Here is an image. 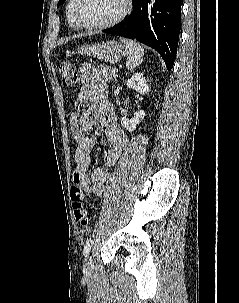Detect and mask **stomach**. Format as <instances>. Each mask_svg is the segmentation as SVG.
Segmentation results:
<instances>
[{"label": "stomach", "instance_id": "1", "mask_svg": "<svg viewBox=\"0 0 239 303\" xmlns=\"http://www.w3.org/2000/svg\"><path fill=\"white\" fill-rule=\"evenodd\" d=\"M78 52L106 62L115 63L127 54V49L124 45L116 41H109L83 45L78 49Z\"/></svg>", "mask_w": 239, "mask_h": 303}]
</instances>
